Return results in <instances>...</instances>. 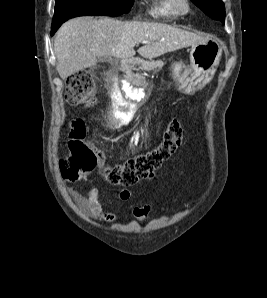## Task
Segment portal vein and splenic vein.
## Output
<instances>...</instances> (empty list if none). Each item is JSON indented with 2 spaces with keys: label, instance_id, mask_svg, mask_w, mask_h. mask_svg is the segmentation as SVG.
I'll use <instances>...</instances> for the list:
<instances>
[{
  "label": "portal vein and splenic vein",
  "instance_id": "1",
  "mask_svg": "<svg viewBox=\"0 0 267 298\" xmlns=\"http://www.w3.org/2000/svg\"><path fill=\"white\" fill-rule=\"evenodd\" d=\"M142 43L143 44H146V43H149V41L148 40H144V41H142Z\"/></svg>",
  "mask_w": 267,
  "mask_h": 298
}]
</instances>
